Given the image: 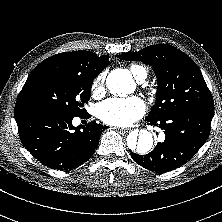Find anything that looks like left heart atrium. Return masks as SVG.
Listing matches in <instances>:
<instances>
[{
    "instance_id": "39dd6f15",
    "label": "left heart atrium",
    "mask_w": 222,
    "mask_h": 222,
    "mask_svg": "<svg viewBox=\"0 0 222 222\" xmlns=\"http://www.w3.org/2000/svg\"><path fill=\"white\" fill-rule=\"evenodd\" d=\"M146 107L137 96L127 98H109L101 102L96 109L97 116L105 123L114 126H128L141 118Z\"/></svg>"
}]
</instances>
